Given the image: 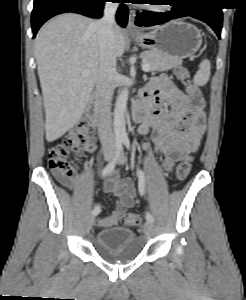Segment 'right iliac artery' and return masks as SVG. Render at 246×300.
I'll return each instance as SVG.
<instances>
[{
    "label": "right iliac artery",
    "mask_w": 246,
    "mask_h": 300,
    "mask_svg": "<svg viewBox=\"0 0 246 300\" xmlns=\"http://www.w3.org/2000/svg\"><path fill=\"white\" fill-rule=\"evenodd\" d=\"M123 152V140L122 139H118L116 141V151H115V156L114 158L104 167V169L102 170V177H106L107 175H109L115 168V165L119 159V157L121 156ZM101 208L99 205L95 206L94 209L92 210V215L96 216L100 213Z\"/></svg>",
    "instance_id": "obj_1"
}]
</instances>
